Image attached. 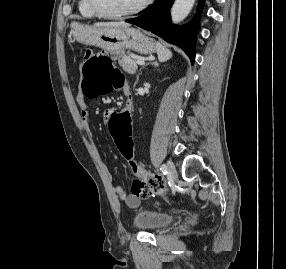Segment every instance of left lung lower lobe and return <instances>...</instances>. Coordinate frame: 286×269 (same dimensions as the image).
Masks as SVG:
<instances>
[{
	"label": "left lung lower lobe",
	"mask_w": 286,
	"mask_h": 269,
	"mask_svg": "<svg viewBox=\"0 0 286 269\" xmlns=\"http://www.w3.org/2000/svg\"><path fill=\"white\" fill-rule=\"evenodd\" d=\"M174 0H156L142 15L128 19L126 22L151 31L169 43L180 46L192 62L195 59L196 33L199 29V13L203 8L204 0H199L198 10L194 18L185 26L178 27L171 23L170 8Z\"/></svg>",
	"instance_id": "1"
}]
</instances>
